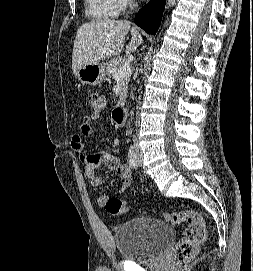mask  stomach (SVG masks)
I'll return each instance as SVG.
<instances>
[{"instance_id": "1", "label": "stomach", "mask_w": 253, "mask_h": 271, "mask_svg": "<svg viewBox=\"0 0 253 271\" xmlns=\"http://www.w3.org/2000/svg\"><path fill=\"white\" fill-rule=\"evenodd\" d=\"M77 79L82 84L97 85L105 78V68L102 63H89L77 72Z\"/></svg>"}]
</instances>
